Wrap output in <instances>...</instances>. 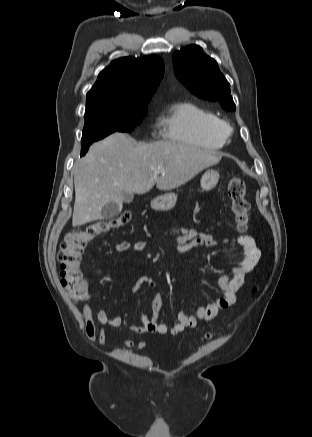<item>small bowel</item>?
Instances as JSON below:
<instances>
[{
	"label": "small bowel",
	"mask_w": 312,
	"mask_h": 437,
	"mask_svg": "<svg viewBox=\"0 0 312 437\" xmlns=\"http://www.w3.org/2000/svg\"><path fill=\"white\" fill-rule=\"evenodd\" d=\"M167 236L175 242L178 252H184L190 246L214 248L218 245V241L211 234L192 227L173 228L169 230ZM235 241L241 246L240 262L229 274L219 278L218 283L222 290V295L215 302L207 306H198L194 315H188L186 311L180 310L177 314V322L169 325L159 320V313L164 304L162 297L159 295L152 303L151 314L140 311L139 318L141 324L129 325V329L137 334H168L176 336L187 328H194L199 321L212 320L220 311L233 305L236 293L240 289L245 276L254 269L261 256V252L251 236L241 235L235 238ZM225 242L229 243L230 240L226 239ZM145 249L146 242L144 241L130 242L124 240L115 245L117 253H125L130 250L141 252ZM142 285L153 288L156 286V282L150 277H141L134 285L133 290L138 291ZM82 319L85 333L90 341H97L103 346H112L105 330L96 327L93 307L90 303H87L82 309ZM96 319L100 324L110 327H120L122 325L121 317L110 316L104 310L97 312ZM117 341L128 348L143 349L147 346V343L144 341H135L130 338L122 337L118 338Z\"/></svg>",
	"instance_id": "small-bowel-1"
}]
</instances>
